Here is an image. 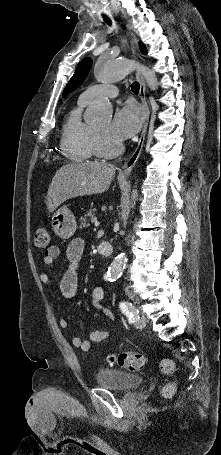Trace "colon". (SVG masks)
Segmentation results:
<instances>
[{
	"mask_svg": "<svg viewBox=\"0 0 221 455\" xmlns=\"http://www.w3.org/2000/svg\"><path fill=\"white\" fill-rule=\"evenodd\" d=\"M34 245L39 250H49L51 245V236L47 229H37L34 237ZM111 364H117L118 366L125 368L130 371H140L144 369L146 365V358L144 355L136 352H122L113 354L109 357ZM161 368L164 373L173 375L175 372V364L170 359H164L161 362ZM175 389V382H170L163 387V395L166 397L171 396Z\"/></svg>",
	"mask_w": 221,
	"mask_h": 455,
	"instance_id": "1",
	"label": "colon"
}]
</instances>
